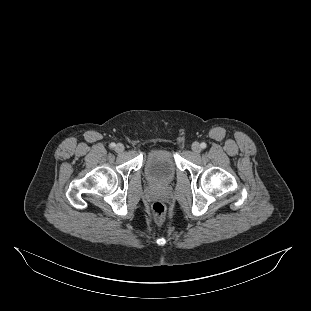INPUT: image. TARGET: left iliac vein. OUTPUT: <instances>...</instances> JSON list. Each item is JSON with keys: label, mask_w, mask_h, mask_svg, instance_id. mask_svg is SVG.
Wrapping results in <instances>:
<instances>
[{"label": "left iliac vein", "mask_w": 311, "mask_h": 311, "mask_svg": "<svg viewBox=\"0 0 311 311\" xmlns=\"http://www.w3.org/2000/svg\"><path fill=\"white\" fill-rule=\"evenodd\" d=\"M192 150L194 153L198 154L201 151V146L199 145V143L195 142L192 144Z\"/></svg>", "instance_id": "obj_1"}]
</instances>
